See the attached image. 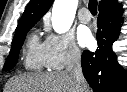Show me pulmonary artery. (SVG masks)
Instances as JSON below:
<instances>
[{"mask_svg":"<svg viewBox=\"0 0 127 92\" xmlns=\"http://www.w3.org/2000/svg\"><path fill=\"white\" fill-rule=\"evenodd\" d=\"M78 19L81 23H88L91 19L90 12L86 8H82L78 12Z\"/></svg>","mask_w":127,"mask_h":92,"instance_id":"obj_1","label":"pulmonary artery"}]
</instances>
